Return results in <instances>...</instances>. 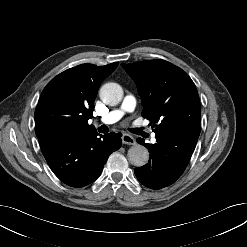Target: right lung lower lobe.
Here are the masks:
<instances>
[{
    "label": "right lung lower lobe",
    "instance_id": "98d812e1",
    "mask_svg": "<svg viewBox=\"0 0 247 247\" xmlns=\"http://www.w3.org/2000/svg\"><path fill=\"white\" fill-rule=\"evenodd\" d=\"M120 136L61 130L51 137L42 153L62 182L80 188L98 178L110 154L120 148Z\"/></svg>",
    "mask_w": 247,
    "mask_h": 247
}]
</instances>
